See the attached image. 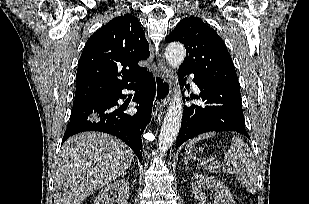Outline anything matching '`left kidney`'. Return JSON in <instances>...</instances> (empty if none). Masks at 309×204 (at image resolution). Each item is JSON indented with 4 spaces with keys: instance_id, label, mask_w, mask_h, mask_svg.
I'll list each match as a JSON object with an SVG mask.
<instances>
[{
    "instance_id": "1",
    "label": "left kidney",
    "mask_w": 309,
    "mask_h": 204,
    "mask_svg": "<svg viewBox=\"0 0 309 204\" xmlns=\"http://www.w3.org/2000/svg\"><path fill=\"white\" fill-rule=\"evenodd\" d=\"M192 193L198 204H206V195L202 189L207 187L215 192L214 204H235L228 188L215 177H208L202 174H194L192 177Z\"/></svg>"
}]
</instances>
